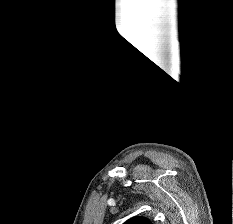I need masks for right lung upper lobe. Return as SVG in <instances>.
Wrapping results in <instances>:
<instances>
[{"label": "right lung upper lobe", "mask_w": 233, "mask_h": 224, "mask_svg": "<svg viewBox=\"0 0 233 224\" xmlns=\"http://www.w3.org/2000/svg\"><path fill=\"white\" fill-rule=\"evenodd\" d=\"M124 224H153L149 219L144 217H134L127 220Z\"/></svg>", "instance_id": "right-lung-upper-lobe-1"}]
</instances>
